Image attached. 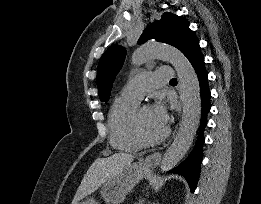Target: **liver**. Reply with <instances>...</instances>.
<instances>
[{"instance_id": "liver-1", "label": "liver", "mask_w": 261, "mask_h": 204, "mask_svg": "<svg viewBox=\"0 0 261 204\" xmlns=\"http://www.w3.org/2000/svg\"><path fill=\"white\" fill-rule=\"evenodd\" d=\"M134 156L127 153H115L106 158H97L84 175L71 204L96 191L102 184L129 166Z\"/></svg>"}]
</instances>
